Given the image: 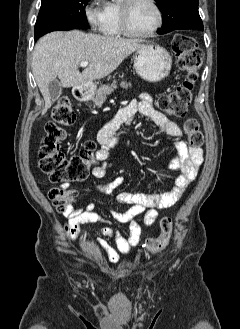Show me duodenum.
<instances>
[{"mask_svg": "<svg viewBox=\"0 0 240 329\" xmlns=\"http://www.w3.org/2000/svg\"><path fill=\"white\" fill-rule=\"evenodd\" d=\"M74 96L77 100L85 101L87 99L86 90L83 86H76L74 88Z\"/></svg>", "mask_w": 240, "mask_h": 329, "instance_id": "410a0bca", "label": "duodenum"}]
</instances>
